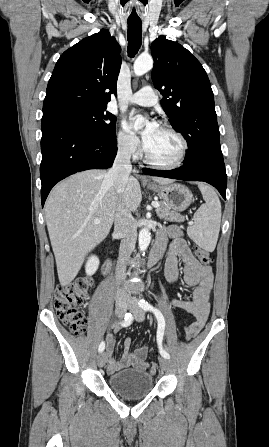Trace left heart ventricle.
Wrapping results in <instances>:
<instances>
[{"mask_svg":"<svg viewBox=\"0 0 269 447\" xmlns=\"http://www.w3.org/2000/svg\"><path fill=\"white\" fill-rule=\"evenodd\" d=\"M144 141L151 158L165 164L174 163L182 148L181 140L162 127L153 131L147 130Z\"/></svg>","mask_w":269,"mask_h":447,"instance_id":"obj_1","label":"left heart ventricle"}]
</instances>
